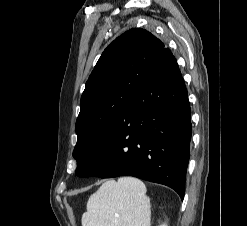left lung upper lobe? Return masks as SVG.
I'll return each instance as SVG.
<instances>
[{"label": "left lung upper lobe", "instance_id": "1", "mask_svg": "<svg viewBox=\"0 0 247 226\" xmlns=\"http://www.w3.org/2000/svg\"><path fill=\"white\" fill-rule=\"evenodd\" d=\"M164 48L163 42L149 31L134 28L104 50L86 82L76 121L78 139L73 157L78 176L89 156L125 112Z\"/></svg>", "mask_w": 247, "mask_h": 226}]
</instances>
